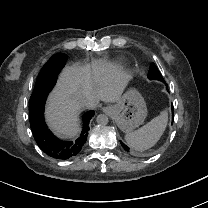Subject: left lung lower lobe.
<instances>
[{
  "instance_id": "0a47b994",
  "label": "left lung lower lobe",
  "mask_w": 208,
  "mask_h": 208,
  "mask_svg": "<svg viewBox=\"0 0 208 208\" xmlns=\"http://www.w3.org/2000/svg\"><path fill=\"white\" fill-rule=\"evenodd\" d=\"M172 112H173V107H172ZM121 145L123 146V148L129 152V148L123 143L121 142Z\"/></svg>"
}]
</instances>
